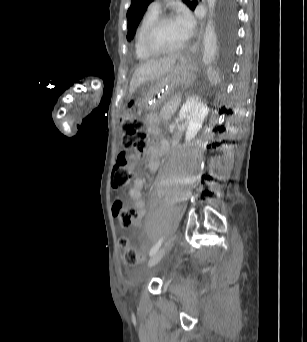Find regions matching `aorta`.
<instances>
[{
    "instance_id": "1",
    "label": "aorta",
    "mask_w": 307,
    "mask_h": 342,
    "mask_svg": "<svg viewBox=\"0 0 307 342\" xmlns=\"http://www.w3.org/2000/svg\"><path fill=\"white\" fill-rule=\"evenodd\" d=\"M207 2L209 8V20L204 34L202 62H204V64H211V62L215 60V56L217 54V38L215 28L211 20L216 0H207Z\"/></svg>"
}]
</instances>
